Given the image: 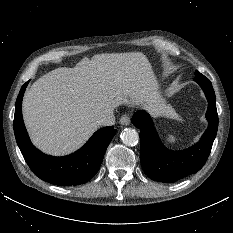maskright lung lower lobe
Segmentation results:
<instances>
[{
    "instance_id": "obj_1",
    "label": "right lung lower lobe",
    "mask_w": 233,
    "mask_h": 233,
    "mask_svg": "<svg viewBox=\"0 0 233 233\" xmlns=\"http://www.w3.org/2000/svg\"><path fill=\"white\" fill-rule=\"evenodd\" d=\"M27 84L19 92L14 115V134L25 161L37 177L51 184L86 183L97 173L117 130L110 126L96 131L82 148L68 156L52 157L40 152L32 145L22 118L21 104Z\"/></svg>"
}]
</instances>
